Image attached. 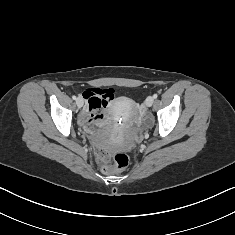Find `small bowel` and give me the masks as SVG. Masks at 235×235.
<instances>
[{
    "instance_id": "obj_1",
    "label": "small bowel",
    "mask_w": 235,
    "mask_h": 235,
    "mask_svg": "<svg viewBox=\"0 0 235 235\" xmlns=\"http://www.w3.org/2000/svg\"><path fill=\"white\" fill-rule=\"evenodd\" d=\"M105 90L91 88L82 92L85 100V107L80 114V121L85 127L94 128L103 125H110L117 121L120 113L125 111L129 114L131 102L126 97L116 99H107L105 104L102 103Z\"/></svg>"
}]
</instances>
